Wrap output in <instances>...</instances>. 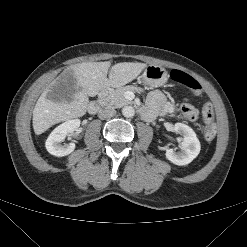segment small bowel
I'll list each match as a JSON object with an SVG mask.
<instances>
[{
	"instance_id": "small-bowel-1",
	"label": "small bowel",
	"mask_w": 247,
	"mask_h": 247,
	"mask_svg": "<svg viewBox=\"0 0 247 247\" xmlns=\"http://www.w3.org/2000/svg\"><path fill=\"white\" fill-rule=\"evenodd\" d=\"M173 106L167 102L165 96L158 91L152 92L147 100V104L143 109V116L146 119H152L158 114L166 115L172 112Z\"/></svg>"
}]
</instances>
